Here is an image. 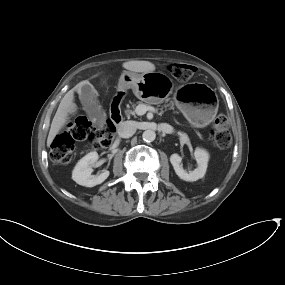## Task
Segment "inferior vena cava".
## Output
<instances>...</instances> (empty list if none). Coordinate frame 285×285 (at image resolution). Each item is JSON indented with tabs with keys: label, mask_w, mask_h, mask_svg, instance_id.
<instances>
[{
	"label": "inferior vena cava",
	"mask_w": 285,
	"mask_h": 285,
	"mask_svg": "<svg viewBox=\"0 0 285 285\" xmlns=\"http://www.w3.org/2000/svg\"><path fill=\"white\" fill-rule=\"evenodd\" d=\"M117 132L120 137L129 138L136 132V126L131 121H125L119 124Z\"/></svg>",
	"instance_id": "obj_1"
}]
</instances>
